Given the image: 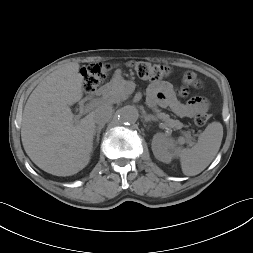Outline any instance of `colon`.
<instances>
[{"label":"colon","instance_id":"colon-1","mask_svg":"<svg viewBox=\"0 0 253 253\" xmlns=\"http://www.w3.org/2000/svg\"><path fill=\"white\" fill-rule=\"evenodd\" d=\"M128 66L132 68L136 74L144 79L149 80H161L168 77L172 70L169 66L152 64L146 61H132L128 63ZM110 64L96 63L88 65L82 68L81 75L83 78V90L86 94H93L98 85L106 78L111 70ZM183 83L186 87L199 90L203 87V82L198 76L191 71H186L182 75ZM183 90L186 91L185 88ZM209 120V114L207 111H200L195 114L193 121L196 126H203Z\"/></svg>","mask_w":253,"mask_h":253}]
</instances>
